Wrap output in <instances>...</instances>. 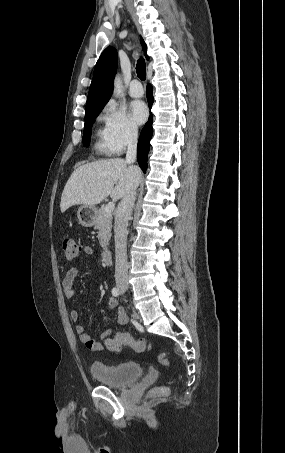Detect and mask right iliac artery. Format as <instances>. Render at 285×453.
<instances>
[{
    "label": "right iliac artery",
    "instance_id": "right-iliac-artery-1",
    "mask_svg": "<svg viewBox=\"0 0 285 453\" xmlns=\"http://www.w3.org/2000/svg\"><path fill=\"white\" fill-rule=\"evenodd\" d=\"M112 294H113V296H115V297L119 296V294H120L119 289L116 288V287H114V288L112 289Z\"/></svg>",
    "mask_w": 285,
    "mask_h": 453
}]
</instances>
